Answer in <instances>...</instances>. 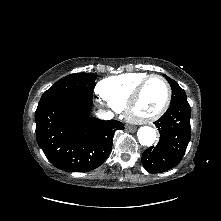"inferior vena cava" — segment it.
Segmentation results:
<instances>
[{
  "label": "inferior vena cava",
  "instance_id": "602c4592",
  "mask_svg": "<svg viewBox=\"0 0 221 221\" xmlns=\"http://www.w3.org/2000/svg\"><path fill=\"white\" fill-rule=\"evenodd\" d=\"M97 116L104 120H110L113 118L112 112H106L104 110H99Z\"/></svg>",
  "mask_w": 221,
  "mask_h": 221
}]
</instances>
